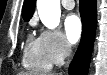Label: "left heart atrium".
<instances>
[{
  "instance_id": "39dd6f15",
  "label": "left heart atrium",
  "mask_w": 107,
  "mask_h": 75,
  "mask_svg": "<svg viewBox=\"0 0 107 75\" xmlns=\"http://www.w3.org/2000/svg\"><path fill=\"white\" fill-rule=\"evenodd\" d=\"M65 32L70 43H76L82 34V22L77 15H70L65 20Z\"/></svg>"
}]
</instances>
